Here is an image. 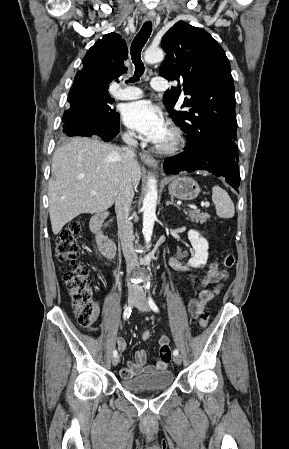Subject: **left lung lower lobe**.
Segmentation results:
<instances>
[{
	"label": "left lung lower lobe",
	"instance_id": "1",
	"mask_svg": "<svg viewBox=\"0 0 289 449\" xmlns=\"http://www.w3.org/2000/svg\"><path fill=\"white\" fill-rule=\"evenodd\" d=\"M235 141L230 133L218 130L199 138L188 136L185 151L166 158L164 170L167 174L207 170L215 176L224 177L227 183L237 190L240 185V173Z\"/></svg>",
	"mask_w": 289,
	"mask_h": 449
}]
</instances>
